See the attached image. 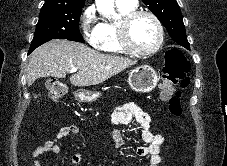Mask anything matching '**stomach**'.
Listing matches in <instances>:
<instances>
[{
    "label": "stomach",
    "instance_id": "stomach-1",
    "mask_svg": "<svg viewBox=\"0 0 227 166\" xmlns=\"http://www.w3.org/2000/svg\"><path fill=\"white\" fill-rule=\"evenodd\" d=\"M158 74L149 65L136 67L129 73L128 82L130 87L141 93L152 91L158 83ZM99 92H91L87 90H77L74 93L75 99L79 102H92L100 97Z\"/></svg>",
    "mask_w": 227,
    "mask_h": 166
}]
</instances>
